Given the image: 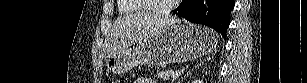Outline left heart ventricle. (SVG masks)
Wrapping results in <instances>:
<instances>
[{"label":"left heart ventricle","mask_w":307,"mask_h":83,"mask_svg":"<svg viewBox=\"0 0 307 83\" xmlns=\"http://www.w3.org/2000/svg\"><path fill=\"white\" fill-rule=\"evenodd\" d=\"M172 0H147V3L149 7L153 10L159 9L161 7H164L168 3H170Z\"/></svg>","instance_id":"obj_1"}]
</instances>
